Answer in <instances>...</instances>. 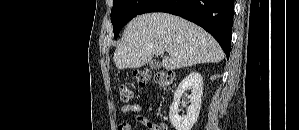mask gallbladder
<instances>
[{
	"mask_svg": "<svg viewBox=\"0 0 299 130\" xmlns=\"http://www.w3.org/2000/svg\"><path fill=\"white\" fill-rule=\"evenodd\" d=\"M149 66L151 69L157 70L160 69L162 65L158 61H151L149 62Z\"/></svg>",
	"mask_w": 299,
	"mask_h": 130,
	"instance_id": "gallbladder-1",
	"label": "gallbladder"
}]
</instances>
